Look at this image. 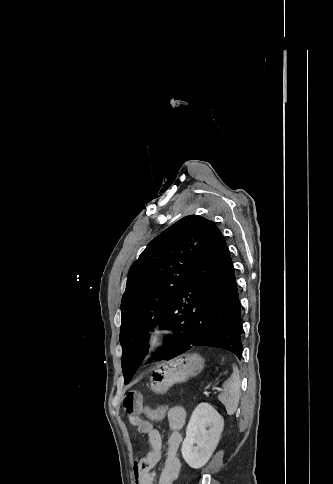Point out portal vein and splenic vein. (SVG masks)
<instances>
[{
    "mask_svg": "<svg viewBox=\"0 0 333 484\" xmlns=\"http://www.w3.org/2000/svg\"><path fill=\"white\" fill-rule=\"evenodd\" d=\"M215 389H216L215 387H213L212 389H205L203 391V394L206 395V396H209L210 395V392L213 391V390H215Z\"/></svg>",
    "mask_w": 333,
    "mask_h": 484,
    "instance_id": "1",
    "label": "portal vein and splenic vein"
}]
</instances>
